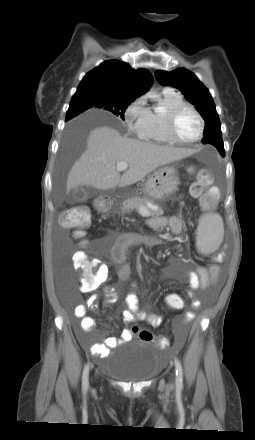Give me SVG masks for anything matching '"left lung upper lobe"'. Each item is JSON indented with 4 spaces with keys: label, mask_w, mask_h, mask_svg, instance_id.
Masks as SVG:
<instances>
[{
    "label": "left lung upper lobe",
    "mask_w": 255,
    "mask_h": 440,
    "mask_svg": "<svg viewBox=\"0 0 255 440\" xmlns=\"http://www.w3.org/2000/svg\"><path fill=\"white\" fill-rule=\"evenodd\" d=\"M155 77L161 85L179 89L185 98L198 109L205 120V135L202 142L215 146L219 153L225 156L220 120L208 89L192 72L184 68L171 72L158 70Z\"/></svg>",
    "instance_id": "5c2ea615"
}]
</instances>
